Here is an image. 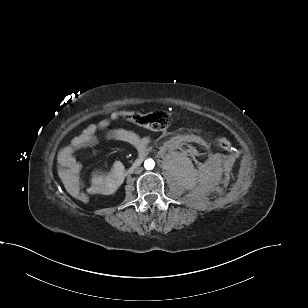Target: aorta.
Returning a JSON list of instances; mask_svg holds the SVG:
<instances>
[{
  "mask_svg": "<svg viewBox=\"0 0 308 308\" xmlns=\"http://www.w3.org/2000/svg\"><path fill=\"white\" fill-rule=\"evenodd\" d=\"M144 167L147 169V170H152L154 167H155V162L153 159H147L145 162H144Z\"/></svg>",
  "mask_w": 308,
  "mask_h": 308,
  "instance_id": "1",
  "label": "aorta"
}]
</instances>
